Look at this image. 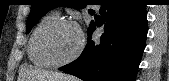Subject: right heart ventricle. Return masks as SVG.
<instances>
[{"instance_id": "right-heart-ventricle-1", "label": "right heart ventricle", "mask_w": 169, "mask_h": 81, "mask_svg": "<svg viewBox=\"0 0 169 81\" xmlns=\"http://www.w3.org/2000/svg\"><path fill=\"white\" fill-rule=\"evenodd\" d=\"M59 19V14L51 12L41 18L33 29L27 47L30 62L37 67L48 68L51 64L43 57L40 47L41 37L45 30Z\"/></svg>"}]
</instances>
